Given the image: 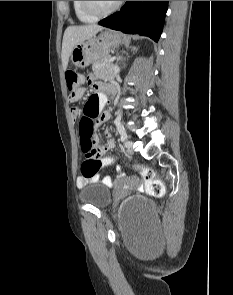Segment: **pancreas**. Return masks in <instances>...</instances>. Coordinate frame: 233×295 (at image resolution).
Instances as JSON below:
<instances>
[{"label": "pancreas", "mask_w": 233, "mask_h": 295, "mask_svg": "<svg viewBox=\"0 0 233 295\" xmlns=\"http://www.w3.org/2000/svg\"><path fill=\"white\" fill-rule=\"evenodd\" d=\"M92 70L94 74L98 77L109 76L114 77L113 73V63L109 62V58H104L97 60L92 65Z\"/></svg>", "instance_id": "cf45deb5"}]
</instances>
